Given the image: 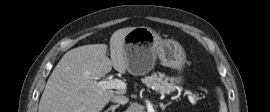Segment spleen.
<instances>
[{
  "instance_id": "1",
  "label": "spleen",
  "mask_w": 270,
  "mask_h": 112,
  "mask_svg": "<svg viewBox=\"0 0 270 112\" xmlns=\"http://www.w3.org/2000/svg\"><path fill=\"white\" fill-rule=\"evenodd\" d=\"M217 93L219 95V102H220V106H219V112H228L227 111V106L226 103L224 101V97H223V92L220 88L217 89Z\"/></svg>"
}]
</instances>
